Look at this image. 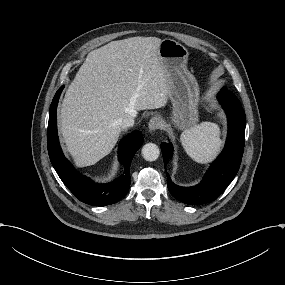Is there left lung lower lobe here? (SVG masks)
Returning <instances> with one entry per match:
<instances>
[{
    "instance_id": "1",
    "label": "left lung lower lobe",
    "mask_w": 285,
    "mask_h": 285,
    "mask_svg": "<svg viewBox=\"0 0 285 285\" xmlns=\"http://www.w3.org/2000/svg\"><path fill=\"white\" fill-rule=\"evenodd\" d=\"M217 98L228 118V136L222 153L212 163L202 182L196 186H177L166 173L170 193L188 205L204 204L217 199L233 180L241 164L246 125L244 110L238 98L225 88L221 89ZM161 150L166 169L173 153V146L171 143H162Z\"/></svg>"
}]
</instances>
